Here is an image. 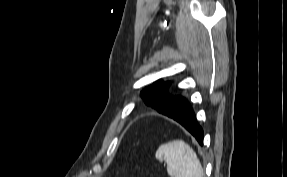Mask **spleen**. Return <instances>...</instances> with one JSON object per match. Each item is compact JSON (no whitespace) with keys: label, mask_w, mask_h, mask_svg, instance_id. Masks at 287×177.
I'll return each instance as SVG.
<instances>
[{"label":"spleen","mask_w":287,"mask_h":177,"mask_svg":"<svg viewBox=\"0 0 287 177\" xmlns=\"http://www.w3.org/2000/svg\"><path fill=\"white\" fill-rule=\"evenodd\" d=\"M155 157L167 164V172L171 177L204 176L196 153L182 140L162 144L156 151Z\"/></svg>","instance_id":"spleen-1"}]
</instances>
